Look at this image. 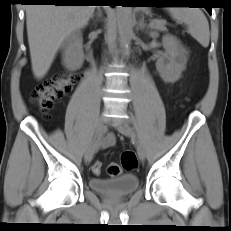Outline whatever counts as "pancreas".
I'll list each match as a JSON object with an SVG mask.
<instances>
[{
    "instance_id": "obj_1",
    "label": "pancreas",
    "mask_w": 231,
    "mask_h": 231,
    "mask_svg": "<svg viewBox=\"0 0 231 231\" xmlns=\"http://www.w3.org/2000/svg\"><path fill=\"white\" fill-rule=\"evenodd\" d=\"M166 21L164 20H152L151 21V28L158 30V31H166V27H165Z\"/></svg>"
}]
</instances>
